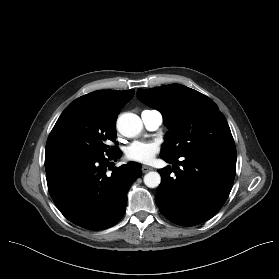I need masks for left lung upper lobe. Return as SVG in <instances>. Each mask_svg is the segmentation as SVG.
Returning a JSON list of instances; mask_svg holds the SVG:
<instances>
[{"label":"left lung upper lobe","mask_w":279,"mask_h":279,"mask_svg":"<svg viewBox=\"0 0 279 279\" xmlns=\"http://www.w3.org/2000/svg\"><path fill=\"white\" fill-rule=\"evenodd\" d=\"M137 97L159 110L169 129L161 157L179 158L207 149L236 150L225 116L206 95L180 84L138 89Z\"/></svg>","instance_id":"5c2ea615"}]
</instances>
